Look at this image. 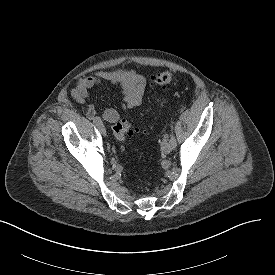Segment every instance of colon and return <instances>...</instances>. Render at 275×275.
I'll return each mask as SVG.
<instances>
[{"instance_id":"5ec220e1","label":"colon","mask_w":275,"mask_h":275,"mask_svg":"<svg viewBox=\"0 0 275 275\" xmlns=\"http://www.w3.org/2000/svg\"><path fill=\"white\" fill-rule=\"evenodd\" d=\"M151 84L157 88H165L176 84V77L170 71H160L151 76ZM134 129L129 117H124L117 121L113 126V134L120 143V149H125V139L132 133L137 132Z\"/></svg>"}]
</instances>
